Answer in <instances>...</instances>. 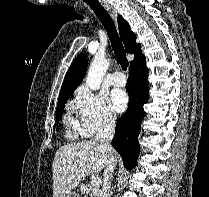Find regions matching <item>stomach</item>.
I'll use <instances>...</instances> for the list:
<instances>
[{
	"label": "stomach",
	"instance_id": "1",
	"mask_svg": "<svg viewBox=\"0 0 209 197\" xmlns=\"http://www.w3.org/2000/svg\"><path fill=\"white\" fill-rule=\"evenodd\" d=\"M65 197H79V196L76 192H70V193L66 194Z\"/></svg>",
	"mask_w": 209,
	"mask_h": 197
}]
</instances>
